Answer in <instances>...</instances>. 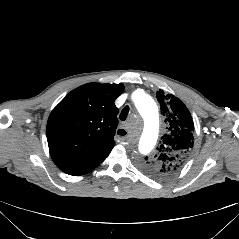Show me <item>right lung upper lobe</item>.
<instances>
[{
    "mask_svg": "<svg viewBox=\"0 0 239 239\" xmlns=\"http://www.w3.org/2000/svg\"><path fill=\"white\" fill-rule=\"evenodd\" d=\"M123 89L122 84L82 85L52 110L47 141L59 169L79 176L93 170L109 155L118 125L114 101Z\"/></svg>",
    "mask_w": 239,
    "mask_h": 239,
    "instance_id": "obj_1",
    "label": "right lung upper lobe"
}]
</instances>
